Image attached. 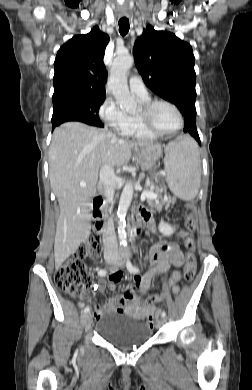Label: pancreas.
<instances>
[{
    "instance_id": "obj_1",
    "label": "pancreas",
    "mask_w": 252,
    "mask_h": 390,
    "mask_svg": "<svg viewBox=\"0 0 252 390\" xmlns=\"http://www.w3.org/2000/svg\"><path fill=\"white\" fill-rule=\"evenodd\" d=\"M154 203V206H150L154 209H156V212H159L163 207L169 208L171 205L175 203V199L171 197H167V200L165 202H152ZM154 216H157V213H154Z\"/></svg>"
}]
</instances>
